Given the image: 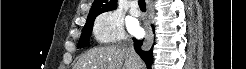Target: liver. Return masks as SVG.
I'll use <instances>...</instances> for the list:
<instances>
[{
	"label": "liver",
	"instance_id": "6515ba94",
	"mask_svg": "<svg viewBox=\"0 0 246 69\" xmlns=\"http://www.w3.org/2000/svg\"><path fill=\"white\" fill-rule=\"evenodd\" d=\"M75 69H133L130 52L123 46H103L89 50L81 56ZM139 69H144L138 59Z\"/></svg>",
	"mask_w": 246,
	"mask_h": 69
}]
</instances>
